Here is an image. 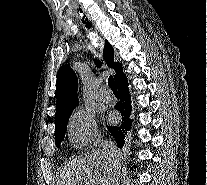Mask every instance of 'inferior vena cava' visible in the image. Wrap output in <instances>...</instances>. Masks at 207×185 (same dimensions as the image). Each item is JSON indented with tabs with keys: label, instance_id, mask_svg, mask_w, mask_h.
<instances>
[{
	"label": "inferior vena cava",
	"instance_id": "obj_1",
	"mask_svg": "<svg viewBox=\"0 0 207 185\" xmlns=\"http://www.w3.org/2000/svg\"><path fill=\"white\" fill-rule=\"evenodd\" d=\"M106 149H111V153H112V151H114V147H108V145H106ZM114 165H117V167H118V165H119L118 159H117V161H115ZM114 179H115V177H114Z\"/></svg>",
	"mask_w": 207,
	"mask_h": 185
}]
</instances>
